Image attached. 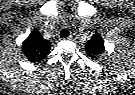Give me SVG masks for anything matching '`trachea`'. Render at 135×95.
Masks as SVG:
<instances>
[{"mask_svg": "<svg viewBox=\"0 0 135 95\" xmlns=\"http://www.w3.org/2000/svg\"><path fill=\"white\" fill-rule=\"evenodd\" d=\"M69 36V31L67 29H63L61 32H60V38H66Z\"/></svg>", "mask_w": 135, "mask_h": 95, "instance_id": "1", "label": "trachea"}]
</instances>
